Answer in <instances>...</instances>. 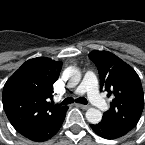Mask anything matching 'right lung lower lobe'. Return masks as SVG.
<instances>
[{"label": "right lung lower lobe", "mask_w": 145, "mask_h": 145, "mask_svg": "<svg viewBox=\"0 0 145 145\" xmlns=\"http://www.w3.org/2000/svg\"><path fill=\"white\" fill-rule=\"evenodd\" d=\"M68 108L60 112L48 125L24 136L35 142H42L53 137L62 126Z\"/></svg>", "instance_id": "obj_1"}]
</instances>
